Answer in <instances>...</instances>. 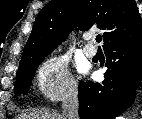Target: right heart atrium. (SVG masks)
<instances>
[{"mask_svg":"<svg viewBox=\"0 0 142 119\" xmlns=\"http://www.w3.org/2000/svg\"><path fill=\"white\" fill-rule=\"evenodd\" d=\"M36 85L40 94L52 101L77 94V84L62 56H52L41 64L36 73Z\"/></svg>","mask_w":142,"mask_h":119,"instance_id":"obj_1","label":"right heart atrium"}]
</instances>
